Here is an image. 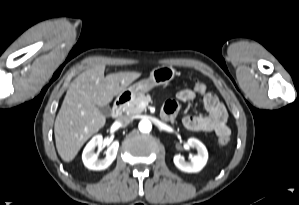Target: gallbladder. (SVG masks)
Returning a JSON list of instances; mask_svg holds the SVG:
<instances>
[{
    "label": "gallbladder",
    "mask_w": 299,
    "mask_h": 205,
    "mask_svg": "<svg viewBox=\"0 0 299 205\" xmlns=\"http://www.w3.org/2000/svg\"><path fill=\"white\" fill-rule=\"evenodd\" d=\"M98 109L100 110V112L102 114H104L105 116H109L111 114V108L106 105V106H101V107H98Z\"/></svg>",
    "instance_id": "gallbladder-1"
}]
</instances>
